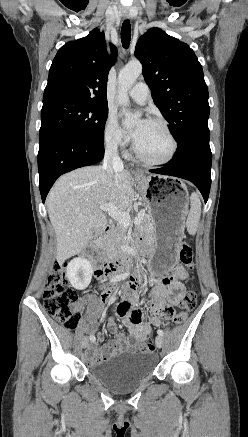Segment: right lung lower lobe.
<instances>
[{"label":"right lung lower lobe","instance_id":"98d812e1","mask_svg":"<svg viewBox=\"0 0 248 437\" xmlns=\"http://www.w3.org/2000/svg\"><path fill=\"white\" fill-rule=\"evenodd\" d=\"M103 157V142L62 129L41 133L38 171L42 201H45L59 176L76 168L97 164Z\"/></svg>","mask_w":248,"mask_h":437}]
</instances>
